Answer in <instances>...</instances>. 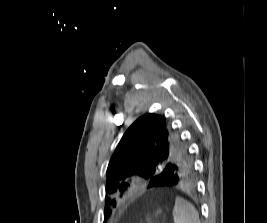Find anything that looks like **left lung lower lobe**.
Instances as JSON below:
<instances>
[{
  "instance_id": "left-lung-lower-lobe-1",
  "label": "left lung lower lobe",
  "mask_w": 267,
  "mask_h": 223,
  "mask_svg": "<svg viewBox=\"0 0 267 223\" xmlns=\"http://www.w3.org/2000/svg\"><path fill=\"white\" fill-rule=\"evenodd\" d=\"M193 176H197V171L170 170L163 171V173H153L155 179L149 182L148 187L152 192L161 195L178 194L179 190L195 189Z\"/></svg>"
}]
</instances>
